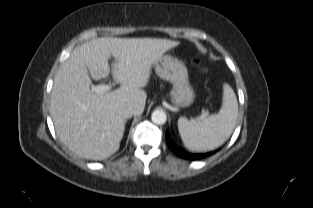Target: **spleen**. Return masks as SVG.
I'll return each instance as SVG.
<instances>
[{
  "label": "spleen",
  "mask_w": 313,
  "mask_h": 208,
  "mask_svg": "<svg viewBox=\"0 0 313 208\" xmlns=\"http://www.w3.org/2000/svg\"><path fill=\"white\" fill-rule=\"evenodd\" d=\"M238 116V102L233 89L223 85L222 107L217 114L191 121L178 119V130L184 146L191 151H208L222 145L232 134Z\"/></svg>",
  "instance_id": "obj_1"
}]
</instances>
